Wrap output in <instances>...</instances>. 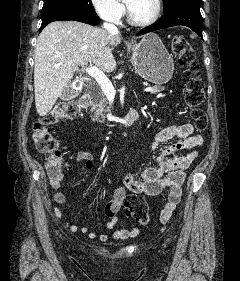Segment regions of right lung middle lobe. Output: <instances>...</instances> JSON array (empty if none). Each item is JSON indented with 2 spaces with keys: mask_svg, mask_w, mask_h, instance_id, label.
<instances>
[{
  "mask_svg": "<svg viewBox=\"0 0 240 281\" xmlns=\"http://www.w3.org/2000/svg\"><path fill=\"white\" fill-rule=\"evenodd\" d=\"M62 12L79 15H97L91 0H44L42 20Z\"/></svg>",
  "mask_w": 240,
  "mask_h": 281,
  "instance_id": "1",
  "label": "right lung middle lobe"
}]
</instances>
